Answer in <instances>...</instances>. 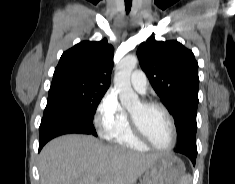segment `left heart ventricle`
<instances>
[{"label": "left heart ventricle", "instance_id": "obj_1", "mask_svg": "<svg viewBox=\"0 0 235 184\" xmlns=\"http://www.w3.org/2000/svg\"><path fill=\"white\" fill-rule=\"evenodd\" d=\"M129 113L156 146L165 148L170 144V121L162 109H146L140 102L131 108Z\"/></svg>", "mask_w": 235, "mask_h": 184}]
</instances>
